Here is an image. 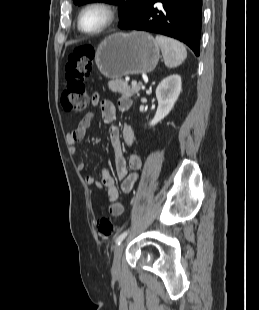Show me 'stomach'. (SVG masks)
<instances>
[{
	"label": "stomach",
	"mask_w": 259,
	"mask_h": 310,
	"mask_svg": "<svg viewBox=\"0 0 259 310\" xmlns=\"http://www.w3.org/2000/svg\"><path fill=\"white\" fill-rule=\"evenodd\" d=\"M160 58L156 40L145 32L114 33L97 47L95 62L102 75L120 79L151 72Z\"/></svg>",
	"instance_id": "obj_1"
}]
</instances>
